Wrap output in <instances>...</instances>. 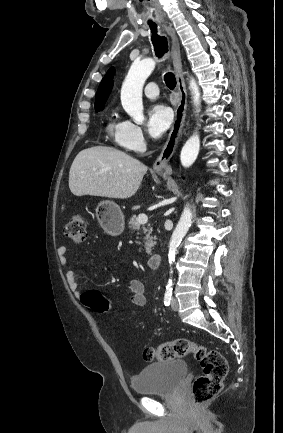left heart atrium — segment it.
Returning <instances> with one entry per match:
<instances>
[{
  "label": "left heart atrium",
  "mask_w": 283,
  "mask_h": 433,
  "mask_svg": "<svg viewBox=\"0 0 283 433\" xmlns=\"http://www.w3.org/2000/svg\"><path fill=\"white\" fill-rule=\"evenodd\" d=\"M172 114L168 107L160 104L151 106L148 113V132L158 139L164 135L170 126Z\"/></svg>",
  "instance_id": "1"
}]
</instances>
